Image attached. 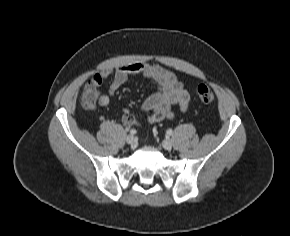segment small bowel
<instances>
[{
	"label": "small bowel",
	"instance_id": "obj_1",
	"mask_svg": "<svg viewBox=\"0 0 290 236\" xmlns=\"http://www.w3.org/2000/svg\"><path fill=\"white\" fill-rule=\"evenodd\" d=\"M141 75L150 80L156 87L155 92L142 104V109L149 112L147 121L157 123L174 116L173 108L177 107L181 112L187 110L190 102V95L185 86L174 73L153 64L130 63L115 68L105 69L92 77L91 82L99 86L108 78L112 82L108 88V94L98 97V105L106 107L110 103V97L114 96L120 87L131 76ZM122 121L125 125L137 124L134 115L129 110H124Z\"/></svg>",
	"mask_w": 290,
	"mask_h": 236
}]
</instances>
